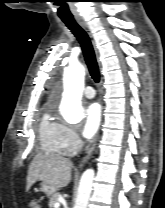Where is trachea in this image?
I'll return each instance as SVG.
<instances>
[{"mask_svg": "<svg viewBox=\"0 0 165 208\" xmlns=\"http://www.w3.org/2000/svg\"><path fill=\"white\" fill-rule=\"evenodd\" d=\"M63 22L71 30V32L75 35V37L81 44L83 55L91 77L94 79L95 82H99V68L96 62L94 49L88 34L80 25H78V23L74 19H63Z\"/></svg>", "mask_w": 165, "mask_h": 208, "instance_id": "obj_1", "label": "trachea"}]
</instances>
